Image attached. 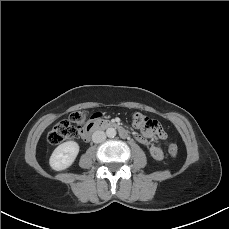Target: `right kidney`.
<instances>
[{"label":"right kidney","mask_w":229,"mask_h":229,"mask_svg":"<svg viewBox=\"0 0 229 229\" xmlns=\"http://www.w3.org/2000/svg\"><path fill=\"white\" fill-rule=\"evenodd\" d=\"M78 153L79 145L77 142H64L55 148L49 159V164L53 170H65L73 164Z\"/></svg>","instance_id":"1"}]
</instances>
